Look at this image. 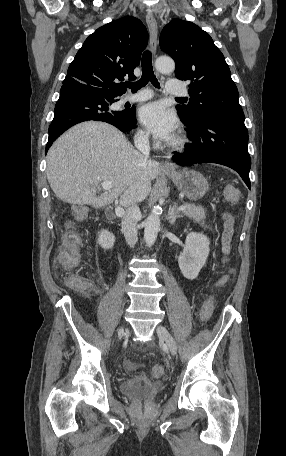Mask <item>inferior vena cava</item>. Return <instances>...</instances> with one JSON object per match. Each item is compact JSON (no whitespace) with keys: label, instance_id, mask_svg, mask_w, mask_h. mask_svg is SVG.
<instances>
[{"label":"inferior vena cava","instance_id":"obj_1","mask_svg":"<svg viewBox=\"0 0 286 456\" xmlns=\"http://www.w3.org/2000/svg\"><path fill=\"white\" fill-rule=\"evenodd\" d=\"M135 147L148 159L150 153V145L148 135L145 133H138L134 138ZM140 215L139 207L134 204L126 209V213L122 218V231L125 240L130 247H134L137 242V221Z\"/></svg>","mask_w":286,"mask_h":456}]
</instances>
